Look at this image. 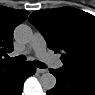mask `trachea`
Masks as SVG:
<instances>
[{
	"instance_id": "obj_1",
	"label": "trachea",
	"mask_w": 95,
	"mask_h": 95,
	"mask_svg": "<svg viewBox=\"0 0 95 95\" xmlns=\"http://www.w3.org/2000/svg\"><path fill=\"white\" fill-rule=\"evenodd\" d=\"M9 60H12L15 62H24L26 60V57L23 55H20V56H16V57H9ZM35 65L40 69H43L46 67V65L40 61H35Z\"/></svg>"
}]
</instances>
